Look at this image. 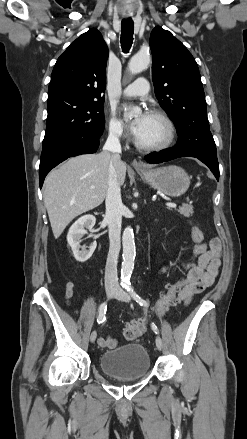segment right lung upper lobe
Masks as SVG:
<instances>
[{
	"mask_svg": "<svg viewBox=\"0 0 247 439\" xmlns=\"http://www.w3.org/2000/svg\"><path fill=\"white\" fill-rule=\"evenodd\" d=\"M107 58L106 43L97 29L73 41L54 66L47 105L66 100L104 101Z\"/></svg>",
	"mask_w": 247,
	"mask_h": 439,
	"instance_id": "obj_1",
	"label": "right lung upper lobe"
}]
</instances>
